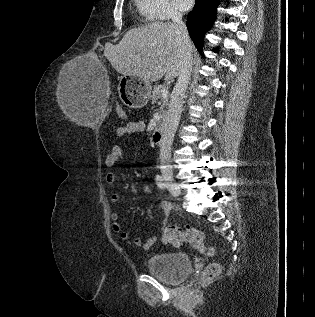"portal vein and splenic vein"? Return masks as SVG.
<instances>
[{
	"label": "portal vein and splenic vein",
	"instance_id": "1",
	"mask_svg": "<svg viewBox=\"0 0 315 317\" xmlns=\"http://www.w3.org/2000/svg\"><path fill=\"white\" fill-rule=\"evenodd\" d=\"M162 97H163V98H167V97H168V91H167V89H164V90L162 91Z\"/></svg>",
	"mask_w": 315,
	"mask_h": 317
}]
</instances>
